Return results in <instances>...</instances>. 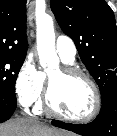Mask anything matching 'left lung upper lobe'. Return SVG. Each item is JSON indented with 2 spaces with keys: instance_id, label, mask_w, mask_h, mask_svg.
I'll return each mask as SVG.
<instances>
[{
  "instance_id": "1",
  "label": "left lung upper lobe",
  "mask_w": 117,
  "mask_h": 136,
  "mask_svg": "<svg viewBox=\"0 0 117 136\" xmlns=\"http://www.w3.org/2000/svg\"><path fill=\"white\" fill-rule=\"evenodd\" d=\"M50 5L104 101L117 91V26L112 9L104 0H51Z\"/></svg>"
}]
</instances>
